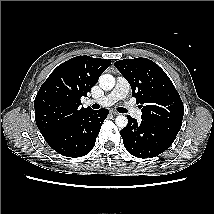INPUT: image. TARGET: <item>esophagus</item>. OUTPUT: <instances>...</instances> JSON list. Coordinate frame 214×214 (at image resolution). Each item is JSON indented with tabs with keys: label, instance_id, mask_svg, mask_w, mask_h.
Returning <instances> with one entry per match:
<instances>
[{
	"label": "esophagus",
	"instance_id": "1",
	"mask_svg": "<svg viewBox=\"0 0 214 214\" xmlns=\"http://www.w3.org/2000/svg\"><path fill=\"white\" fill-rule=\"evenodd\" d=\"M111 113L113 114V115H119V113L118 112H116V111H111Z\"/></svg>",
	"mask_w": 214,
	"mask_h": 214
}]
</instances>
